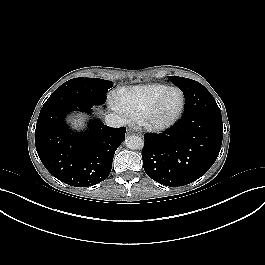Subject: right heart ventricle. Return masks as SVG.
Segmentation results:
<instances>
[{
  "instance_id": "e07e8e85",
  "label": "right heart ventricle",
  "mask_w": 265,
  "mask_h": 265,
  "mask_svg": "<svg viewBox=\"0 0 265 265\" xmlns=\"http://www.w3.org/2000/svg\"><path fill=\"white\" fill-rule=\"evenodd\" d=\"M167 87L163 84H147L122 88L115 96L122 111L132 120L140 122L156 97Z\"/></svg>"
}]
</instances>
